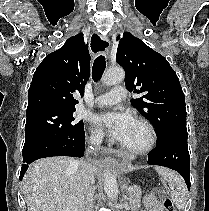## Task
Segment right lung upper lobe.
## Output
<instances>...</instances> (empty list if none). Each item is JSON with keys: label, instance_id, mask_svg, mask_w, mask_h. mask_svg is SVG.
Returning a JSON list of instances; mask_svg holds the SVG:
<instances>
[{"label": "right lung upper lobe", "instance_id": "right-lung-upper-lobe-1", "mask_svg": "<svg viewBox=\"0 0 209 211\" xmlns=\"http://www.w3.org/2000/svg\"><path fill=\"white\" fill-rule=\"evenodd\" d=\"M83 34L69 38L37 67L28 91L27 111L75 109L73 93L84 95L90 74V55Z\"/></svg>", "mask_w": 209, "mask_h": 211}]
</instances>
